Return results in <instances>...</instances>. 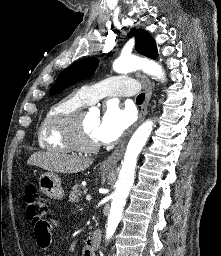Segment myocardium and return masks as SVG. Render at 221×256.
<instances>
[{
    "label": "myocardium",
    "mask_w": 221,
    "mask_h": 256,
    "mask_svg": "<svg viewBox=\"0 0 221 256\" xmlns=\"http://www.w3.org/2000/svg\"><path fill=\"white\" fill-rule=\"evenodd\" d=\"M84 115L85 111L83 109L75 113L65 128V135L75 150L87 153L94 152L99 149V144L85 140L83 136Z\"/></svg>",
    "instance_id": "f54148a6"
}]
</instances>
